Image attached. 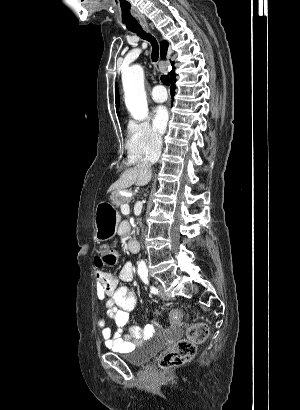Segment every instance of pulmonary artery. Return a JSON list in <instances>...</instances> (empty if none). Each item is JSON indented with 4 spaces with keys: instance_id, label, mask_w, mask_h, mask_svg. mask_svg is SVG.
<instances>
[{
    "instance_id": "e3ab8cb5",
    "label": "pulmonary artery",
    "mask_w": 300,
    "mask_h": 410,
    "mask_svg": "<svg viewBox=\"0 0 300 410\" xmlns=\"http://www.w3.org/2000/svg\"><path fill=\"white\" fill-rule=\"evenodd\" d=\"M167 92L162 85H156L151 91V98L155 102H164L167 100Z\"/></svg>"
}]
</instances>
